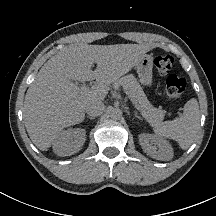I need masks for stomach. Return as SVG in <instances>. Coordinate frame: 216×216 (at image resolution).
Wrapping results in <instances>:
<instances>
[{
  "instance_id": "stomach-1",
  "label": "stomach",
  "mask_w": 216,
  "mask_h": 216,
  "mask_svg": "<svg viewBox=\"0 0 216 216\" xmlns=\"http://www.w3.org/2000/svg\"><path fill=\"white\" fill-rule=\"evenodd\" d=\"M136 71L139 81L142 85L151 86L153 84V58L151 55L145 54L136 64Z\"/></svg>"
}]
</instances>
